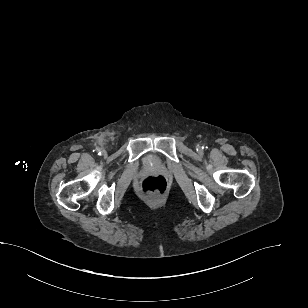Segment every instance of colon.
<instances>
[{
  "instance_id": "5ec220e1",
  "label": "colon",
  "mask_w": 308,
  "mask_h": 308,
  "mask_svg": "<svg viewBox=\"0 0 308 308\" xmlns=\"http://www.w3.org/2000/svg\"><path fill=\"white\" fill-rule=\"evenodd\" d=\"M140 189L146 197L156 199L166 193L168 183L165 177L161 175L149 176L142 181Z\"/></svg>"
}]
</instances>
